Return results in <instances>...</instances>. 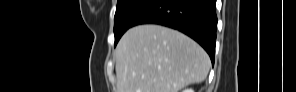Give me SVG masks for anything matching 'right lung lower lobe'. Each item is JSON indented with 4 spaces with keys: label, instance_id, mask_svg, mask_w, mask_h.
Masks as SVG:
<instances>
[{
    "label": "right lung lower lobe",
    "instance_id": "1",
    "mask_svg": "<svg viewBox=\"0 0 296 92\" xmlns=\"http://www.w3.org/2000/svg\"><path fill=\"white\" fill-rule=\"evenodd\" d=\"M139 24H159L185 33L197 41L214 62L216 0H154L131 27Z\"/></svg>",
    "mask_w": 296,
    "mask_h": 92
}]
</instances>
